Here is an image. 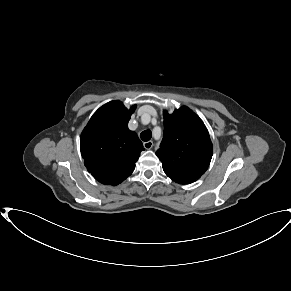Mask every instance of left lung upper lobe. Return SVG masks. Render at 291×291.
<instances>
[{
    "mask_svg": "<svg viewBox=\"0 0 291 291\" xmlns=\"http://www.w3.org/2000/svg\"><path fill=\"white\" fill-rule=\"evenodd\" d=\"M164 136L156 155L168 177L180 184H190L204 174L213 148L202 120L187 107L172 114L163 112Z\"/></svg>",
    "mask_w": 291,
    "mask_h": 291,
    "instance_id": "5c2ea615",
    "label": "left lung upper lobe"
}]
</instances>
